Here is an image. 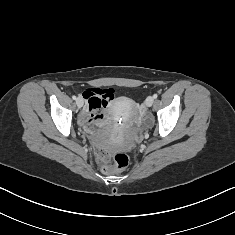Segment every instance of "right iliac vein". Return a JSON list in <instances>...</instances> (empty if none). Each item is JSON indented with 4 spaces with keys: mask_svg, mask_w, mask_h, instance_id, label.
<instances>
[{
    "mask_svg": "<svg viewBox=\"0 0 235 235\" xmlns=\"http://www.w3.org/2000/svg\"><path fill=\"white\" fill-rule=\"evenodd\" d=\"M76 104H77V106H78L79 108H81V107L83 106V104H84L83 99L80 98V97L77 98Z\"/></svg>",
    "mask_w": 235,
    "mask_h": 235,
    "instance_id": "obj_1",
    "label": "right iliac vein"
}]
</instances>
